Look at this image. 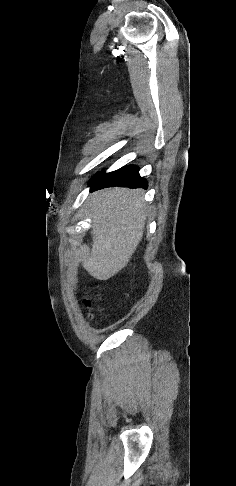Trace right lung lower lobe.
Wrapping results in <instances>:
<instances>
[{
    "label": "right lung lower lobe",
    "mask_w": 236,
    "mask_h": 486,
    "mask_svg": "<svg viewBox=\"0 0 236 486\" xmlns=\"http://www.w3.org/2000/svg\"><path fill=\"white\" fill-rule=\"evenodd\" d=\"M138 167L129 165L108 174H96L90 182L91 191L113 187L144 188L147 181L140 177Z\"/></svg>",
    "instance_id": "98d812e1"
}]
</instances>
